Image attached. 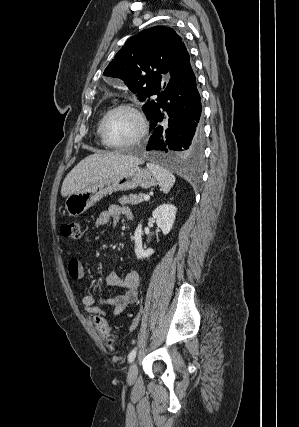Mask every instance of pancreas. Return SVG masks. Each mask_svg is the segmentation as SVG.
<instances>
[{"mask_svg":"<svg viewBox=\"0 0 299 427\" xmlns=\"http://www.w3.org/2000/svg\"><path fill=\"white\" fill-rule=\"evenodd\" d=\"M143 193L140 194H131L128 196H123L122 198H120L118 200V202L121 205H126V204H131V205H136V204H140L141 202H143Z\"/></svg>","mask_w":299,"mask_h":427,"instance_id":"pancreas-1","label":"pancreas"}]
</instances>
